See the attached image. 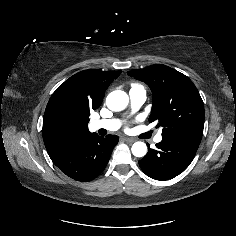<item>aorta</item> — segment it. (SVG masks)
<instances>
[{"label":"aorta","instance_id":"aorta-1","mask_svg":"<svg viewBox=\"0 0 236 236\" xmlns=\"http://www.w3.org/2000/svg\"><path fill=\"white\" fill-rule=\"evenodd\" d=\"M128 102L127 93L121 90L112 91L106 98L107 107L115 112L124 110ZM131 151L135 157H144L147 153V146L144 142L138 141L132 145Z\"/></svg>","mask_w":236,"mask_h":236}]
</instances>
